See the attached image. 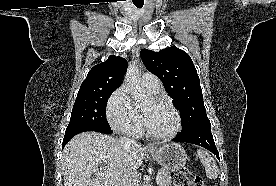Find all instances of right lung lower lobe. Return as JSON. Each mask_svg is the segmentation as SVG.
<instances>
[{"label": "right lung lower lobe", "instance_id": "98d812e1", "mask_svg": "<svg viewBox=\"0 0 276 186\" xmlns=\"http://www.w3.org/2000/svg\"><path fill=\"white\" fill-rule=\"evenodd\" d=\"M85 131H97L105 134H111L113 131L111 128H101V127H94V126H86V127H78L74 130L66 131L64 140H63V147L67 144V142L74 137L75 135L85 132Z\"/></svg>", "mask_w": 276, "mask_h": 186}]
</instances>
